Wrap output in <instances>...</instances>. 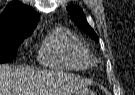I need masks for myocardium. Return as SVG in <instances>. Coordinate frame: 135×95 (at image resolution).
<instances>
[{"instance_id":"obj_1","label":"myocardium","mask_w":135,"mask_h":95,"mask_svg":"<svg viewBox=\"0 0 135 95\" xmlns=\"http://www.w3.org/2000/svg\"><path fill=\"white\" fill-rule=\"evenodd\" d=\"M96 61L93 59V63H95Z\"/></svg>"}]
</instances>
